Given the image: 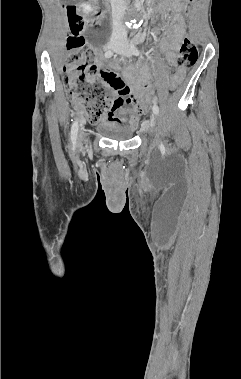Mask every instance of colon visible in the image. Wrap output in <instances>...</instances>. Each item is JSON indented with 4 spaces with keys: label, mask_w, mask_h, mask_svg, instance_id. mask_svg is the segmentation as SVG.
Returning <instances> with one entry per match:
<instances>
[{
    "label": "colon",
    "mask_w": 241,
    "mask_h": 379,
    "mask_svg": "<svg viewBox=\"0 0 241 379\" xmlns=\"http://www.w3.org/2000/svg\"><path fill=\"white\" fill-rule=\"evenodd\" d=\"M196 3V0H186L185 11ZM67 17L71 24L72 35L68 38L67 47L69 58L64 64L65 86L71 98L84 112L85 118L89 123H97L103 115L111 111L115 101L108 91L98 83L91 82L97 73V68L92 64L93 54L88 48L84 39L78 34L84 27L83 16L79 8L73 4L64 6ZM198 60L196 45L189 36H185L181 42L178 52V65L184 72L193 67ZM100 73V71H99ZM103 77L113 88L122 95H127L128 89L123 82L111 73L103 72ZM179 80H174L168 87V95L172 96L177 91ZM159 92L157 87H150L140 94L143 101L150 102Z\"/></svg>",
    "instance_id": "5ec220e1"
}]
</instances>
